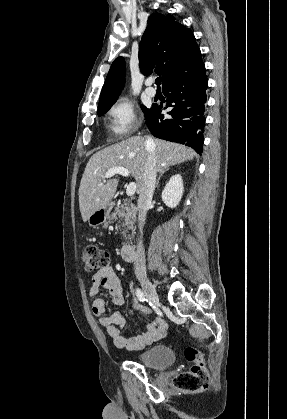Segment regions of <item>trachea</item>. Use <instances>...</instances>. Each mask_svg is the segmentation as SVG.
<instances>
[{
	"label": "trachea",
	"instance_id": "trachea-1",
	"mask_svg": "<svg viewBox=\"0 0 287 419\" xmlns=\"http://www.w3.org/2000/svg\"><path fill=\"white\" fill-rule=\"evenodd\" d=\"M160 83H161V77L156 78L155 84L159 87Z\"/></svg>",
	"mask_w": 287,
	"mask_h": 419
}]
</instances>
